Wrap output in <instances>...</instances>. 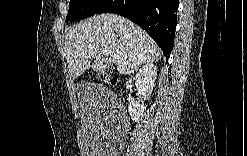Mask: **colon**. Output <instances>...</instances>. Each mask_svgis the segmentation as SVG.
Instances as JSON below:
<instances>
[{
	"label": "colon",
	"instance_id": "5ec220e1",
	"mask_svg": "<svg viewBox=\"0 0 247 156\" xmlns=\"http://www.w3.org/2000/svg\"><path fill=\"white\" fill-rule=\"evenodd\" d=\"M106 80L110 83V84H116L117 83V80L115 78H111V77H108L106 78Z\"/></svg>",
	"mask_w": 247,
	"mask_h": 156
}]
</instances>
